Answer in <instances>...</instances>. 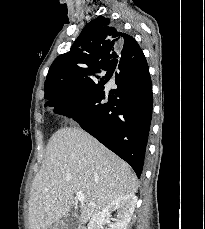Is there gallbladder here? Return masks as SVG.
Instances as JSON below:
<instances>
[{
	"instance_id": "obj_1",
	"label": "gallbladder",
	"mask_w": 205,
	"mask_h": 229,
	"mask_svg": "<svg viewBox=\"0 0 205 229\" xmlns=\"http://www.w3.org/2000/svg\"><path fill=\"white\" fill-rule=\"evenodd\" d=\"M67 226L69 227V229H73L72 227L76 226L77 224V220H76V216L75 215H71L69 216L67 219ZM50 229H54V228H50Z\"/></svg>"
}]
</instances>
